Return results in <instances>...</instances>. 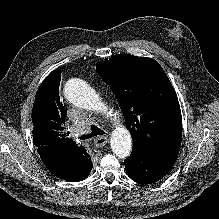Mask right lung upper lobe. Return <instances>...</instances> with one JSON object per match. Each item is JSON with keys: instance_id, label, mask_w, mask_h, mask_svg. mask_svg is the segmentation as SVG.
<instances>
[{"instance_id": "right-lung-upper-lobe-1", "label": "right lung upper lobe", "mask_w": 219, "mask_h": 219, "mask_svg": "<svg viewBox=\"0 0 219 219\" xmlns=\"http://www.w3.org/2000/svg\"><path fill=\"white\" fill-rule=\"evenodd\" d=\"M61 74L52 71L39 87L32 109L33 142L42 162L55 176L71 182L88 176L92 162L83 146L66 136L67 111L60 102Z\"/></svg>"}]
</instances>
